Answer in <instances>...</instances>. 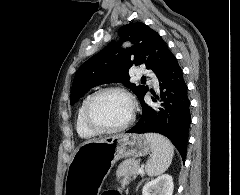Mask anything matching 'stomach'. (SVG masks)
Returning <instances> with one entry per match:
<instances>
[{
    "label": "stomach",
    "mask_w": 240,
    "mask_h": 195,
    "mask_svg": "<svg viewBox=\"0 0 240 195\" xmlns=\"http://www.w3.org/2000/svg\"><path fill=\"white\" fill-rule=\"evenodd\" d=\"M150 151V141L141 133H117L83 141L68 165L65 195H99L104 179L118 159H135Z\"/></svg>",
    "instance_id": "0dacf381"
}]
</instances>
